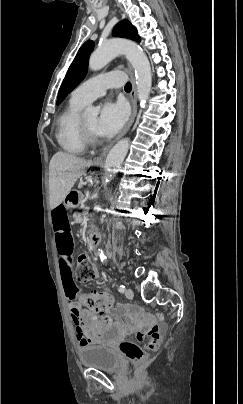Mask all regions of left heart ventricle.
Wrapping results in <instances>:
<instances>
[{"label":"left heart ventricle","mask_w":243,"mask_h":404,"mask_svg":"<svg viewBox=\"0 0 243 404\" xmlns=\"http://www.w3.org/2000/svg\"><path fill=\"white\" fill-rule=\"evenodd\" d=\"M82 123L84 127L90 132L93 133L95 132V125H96V118H89V119H84L82 120Z\"/></svg>","instance_id":"1"}]
</instances>
